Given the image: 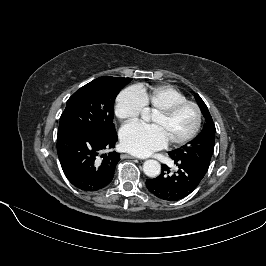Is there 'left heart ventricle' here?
<instances>
[{
	"mask_svg": "<svg viewBox=\"0 0 266 266\" xmlns=\"http://www.w3.org/2000/svg\"><path fill=\"white\" fill-rule=\"evenodd\" d=\"M196 121L195 111L192 107H185L170 117H163L154 113L151 122L157 125L168 142L183 138L194 127Z\"/></svg>",
	"mask_w": 266,
	"mask_h": 266,
	"instance_id": "left-heart-ventricle-1",
	"label": "left heart ventricle"
}]
</instances>
